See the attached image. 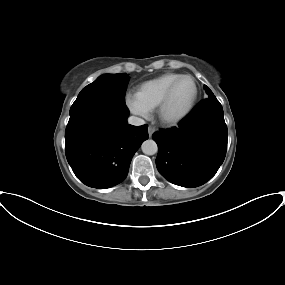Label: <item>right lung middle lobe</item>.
Instances as JSON below:
<instances>
[{
  "label": "right lung middle lobe",
  "instance_id": "obj_1",
  "mask_svg": "<svg viewBox=\"0 0 285 285\" xmlns=\"http://www.w3.org/2000/svg\"><path fill=\"white\" fill-rule=\"evenodd\" d=\"M129 78L126 73L105 74L87 85L79 93L70 109V115L94 100H109L125 104V92Z\"/></svg>",
  "mask_w": 285,
  "mask_h": 285
}]
</instances>
